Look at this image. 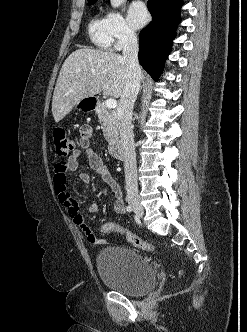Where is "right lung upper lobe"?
<instances>
[{"mask_svg":"<svg viewBox=\"0 0 247 332\" xmlns=\"http://www.w3.org/2000/svg\"><path fill=\"white\" fill-rule=\"evenodd\" d=\"M97 0H88V4H94Z\"/></svg>","mask_w":247,"mask_h":332,"instance_id":"obj_1","label":"right lung upper lobe"}]
</instances>
